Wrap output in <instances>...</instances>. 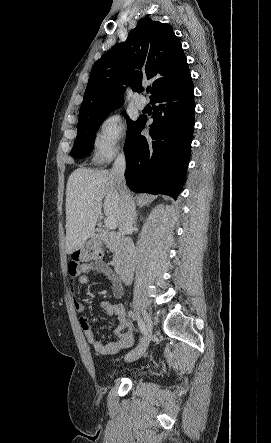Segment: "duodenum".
<instances>
[{
  "instance_id": "obj_1",
  "label": "duodenum",
  "mask_w": 271,
  "mask_h": 443,
  "mask_svg": "<svg viewBox=\"0 0 271 443\" xmlns=\"http://www.w3.org/2000/svg\"><path fill=\"white\" fill-rule=\"evenodd\" d=\"M93 236L97 240L106 241L115 246L116 255L113 268L117 274L123 275L130 272L134 263V248L128 240L124 239L117 232H110L100 228L94 230Z\"/></svg>"
}]
</instances>
